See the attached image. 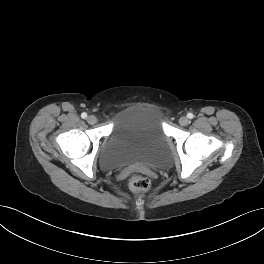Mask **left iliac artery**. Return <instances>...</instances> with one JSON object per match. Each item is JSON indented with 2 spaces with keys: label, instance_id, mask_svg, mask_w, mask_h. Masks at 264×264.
Instances as JSON below:
<instances>
[{
  "label": "left iliac artery",
  "instance_id": "44dca946",
  "mask_svg": "<svg viewBox=\"0 0 264 264\" xmlns=\"http://www.w3.org/2000/svg\"><path fill=\"white\" fill-rule=\"evenodd\" d=\"M187 117H188L189 119H192V118L194 117V115H193L192 113H188Z\"/></svg>",
  "mask_w": 264,
  "mask_h": 264
}]
</instances>
